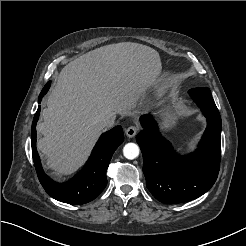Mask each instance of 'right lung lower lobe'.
<instances>
[{
    "label": "right lung lower lobe",
    "instance_id": "right-lung-lower-lobe-1",
    "mask_svg": "<svg viewBox=\"0 0 246 246\" xmlns=\"http://www.w3.org/2000/svg\"><path fill=\"white\" fill-rule=\"evenodd\" d=\"M48 89V85H45L39 95V104ZM40 110L39 105L32 123L31 140L32 157L41 185L51 197L61 202L80 205L92 201L107 185L106 170L111 157L124 141L122 127L116 126L100 137L86 166L73 179L65 183H57L44 173L36 150V124Z\"/></svg>",
    "mask_w": 246,
    "mask_h": 246
}]
</instances>
